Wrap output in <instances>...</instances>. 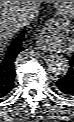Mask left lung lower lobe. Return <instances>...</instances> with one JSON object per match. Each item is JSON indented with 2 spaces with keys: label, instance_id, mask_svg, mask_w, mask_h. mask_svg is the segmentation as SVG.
<instances>
[{
  "label": "left lung lower lobe",
  "instance_id": "obj_1",
  "mask_svg": "<svg viewBox=\"0 0 74 122\" xmlns=\"http://www.w3.org/2000/svg\"><path fill=\"white\" fill-rule=\"evenodd\" d=\"M56 89L61 94L74 96V56L70 60L68 73L56 82Z\"/></svg>",
  "mask_w": 74,
  "mask_h": 122
}]
</instances>
